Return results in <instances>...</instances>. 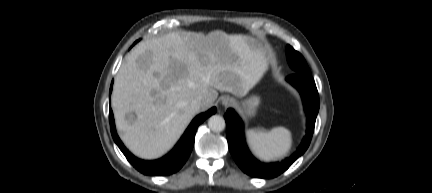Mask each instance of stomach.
Instances as JSON below:
<instances>
[{"instance_id": "obj_1", "label": "stomach", "mask_w": 432, "mask_h": 193, "mask_svg": "<svg viewBox=\"0 0 432 193\" xmlns=\"http://www.w3.org/2000/svg\"><path fill=\"white\" fill-rule=\"evenodd\" d=\"M259 104H260V98L258 96H251L250 98L242 102H235V107L245 117L251 118L255 115Z\"/></svg>"}]
</instances>
